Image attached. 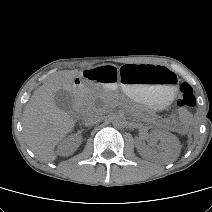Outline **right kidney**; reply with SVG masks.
Here are the masks:
<instances>
[{
	"label": "right kidney",
	"instance_id": "obj_1",
	"mask_svg": "<svg viewBox=\"0 0 212 212\" xmlns=\"http://www.w3.org/2000/svg\"><path fill=\"white\" fill-rule=\"evenodd\" d=\"M82 142V136L79 133L72 134L66 138L58 146L57 153L62 156H69L73 154Z\"/></svg>",
	"mask_w": 212,
	"mask_h": 212
}]
</instances>
